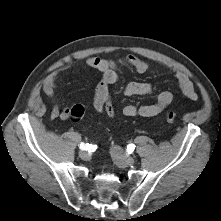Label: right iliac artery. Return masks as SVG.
I'll use <instances>...</instances> for the list:
<instances>
[{"label": "right iliac artery", "mask_w": 221, "mask_h": 221, "mask_svg": "<svg viewBox=\"0 0 221 221\" xmlns=\"http://www.w3.org/2000/svg\"><path fill=\"white\" fill-rule=\"evenodd\" d=\"M80 149H82V150H94V149H96V146L95 145H92V144H89V143H81L80 144Z\"/></svg>", "instance_id": "1"}]
</instances>
